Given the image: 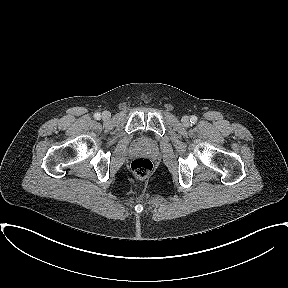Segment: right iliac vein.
Listing matches in <instances>:
<instances>
[{"mask_svg":"<svg viewBox=\"0 0 288 288\" xmlns=\"http://www.w3.org/2000/svg\"><path fill=\"white\" fill-rule=\"evenodd\" d=\"M111 117V114L108 111L103 112L102 119L108 120Z\"/></svg>","mask_w":288,"mask_h":288,"instance_id":"63e3f726","label":"right iliac vein"}]
</instances>
